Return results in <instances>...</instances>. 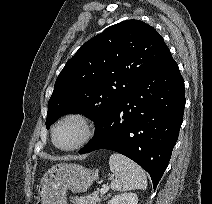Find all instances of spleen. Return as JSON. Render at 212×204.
Returning a JSON list of instances; mask_svg holds the SVG:
<instances>
[{"mask_svg": "<svg viewBox=\"0 0 212 204\" xmlns=\"http://www.w3.org/2000/svg\"><path fill=\"white\" fill-rule=\"evenodd\" d=\"M109 166L115 179L111 182V188L115 191H129L147 188L145 171L129 158L114 153L110 156Z\"/></svg>", "mask_w": 212, "mask_h": 204, "instance_id": "3e777b00", "label": "spleen"}]
</instances>
